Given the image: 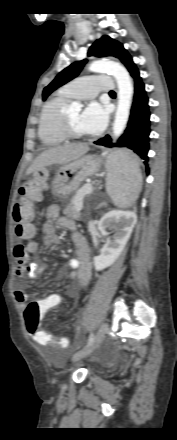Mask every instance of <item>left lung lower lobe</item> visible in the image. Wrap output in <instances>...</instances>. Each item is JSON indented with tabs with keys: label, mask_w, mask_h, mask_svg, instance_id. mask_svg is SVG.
Here are the masks:
<instances>
[{
	"label": "left lung lower lobe",
	"mask_w": 177,
	"mask_h": 440,
	"mask_svg": "<svg viewBox=\"0 0 177 440\" xmlns=\"http://www.w3.org/2000/svg\"><path fill=\"white\" fill-rule=\"evenodd\" d=\"M130 75L134 84V98L130 118L124 134L116 143L111 142L109 135H106L94 143L106 147H125L133 150L143 160L146 166V172L149 173L147 153L149 150V134L151 130L148 97L137 67L132 68Z\"/></svg>",
	"instance_id": "0a47b994"
}]
</instances>
